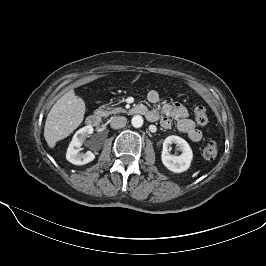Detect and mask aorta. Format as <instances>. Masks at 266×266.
<instances>
[{
	"mask_svg": "<svg viewBox=\"0 0 266 266\" xmlns=\"http://www.w3.org/2000/svg\"><path fill=\"white\" fill-rule=\"evenodd\" d=\"M132 126L135 128H140L143 125V118L140 115L133 116L131 120Z\"/></svg>",
	"mask_w": 266,
	"mask_h": 266,
	"instance_id": "1",
	"label": "aorta"
}]
</instances>
